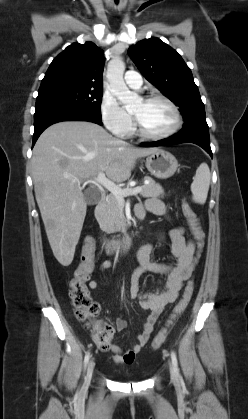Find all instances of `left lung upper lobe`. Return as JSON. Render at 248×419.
Segmentation results:
<instances>
[{
	"mask_svg": "<svg viewBox=\"0 0 248 419\" xmlns=\"http://www.w3.org/2000/svg\"><path fill=\"white\" fill-rule=\"evenodd\" d=\"M128 54L145 78L180 107L183 127L206 119L191 70L176 50L159 38H150L132 45Z\"/></svg>",
	"mask_w": 248,
	"mask_h": 419,
	"instance_id": "5c2ea615",
	"label": "left lung upper lobe"
}]
</instances>
